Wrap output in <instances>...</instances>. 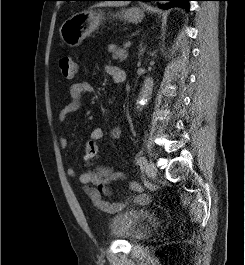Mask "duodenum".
I'll return each mask as SVG.
<instances>
[{
    "label": "duodenum",
    "mask_w": 245,
    "mask_h": 265,
    "mask_svg": "<svg viewBox=\"0 0 245 265\" xmlns=\"http://www.w3.org/2000/svg\"><path fill=\"white\" fill-rule=\"evenodd\" d=\"M125 80H126V77H125V78H123V79H119V80H117V81H116V83H119V84H121V83H123Z\"/></svg>",
    "instance_id": "410a0bca"
}]
</instances>
